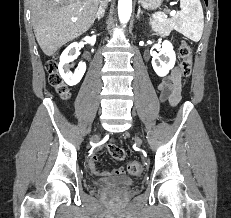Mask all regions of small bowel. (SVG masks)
Returning <instances> with one entry per match:
<instances>
[{"instance_id": "c3829d8e", "label": "small bowel", "mask_w": 231, "mask_h": 218, "mask_svg": "<svg viewBox=\"0 0 231 218\" xmlns=\"http://www.w3.org/2000/svg\"><path fill=\"white\" fill-rule=\"evenodd\" d=\"M160 91V99L168 102L171 106H175L181 99V72L175 67L170 75L161 80L158 84ZM97 155L92 154L88 160L90 171L96 176H120L124 173L123 168L113 169L111 171H101L97 168Z\"/></svg>"}]
</instances>
